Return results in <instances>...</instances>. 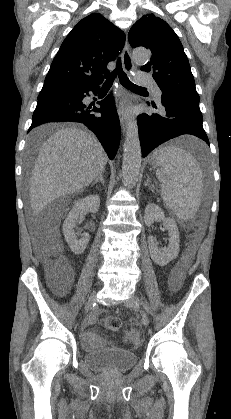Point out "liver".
<instances>
[{
	"instance_id": "obj_1",
	"label": "liver",
	"mask_w": 231,
	"mask_h": 419,
	"mask_svg": "<svg viewBox=\"0 0 231 419\" xmlns=\"http://www.w3.org/2000/svg\"><path fill=\"white\" fill-rule=\"evenodd\" d=\"M50 126L34 129L30 137H39ZM108 161L97 138L78 128H61L44 142L32 171L29 197L32 211L39 214L62 196L82 191L104 171ZM59 236L56 231V235Z\"/></svg>"
}]
</instances>
